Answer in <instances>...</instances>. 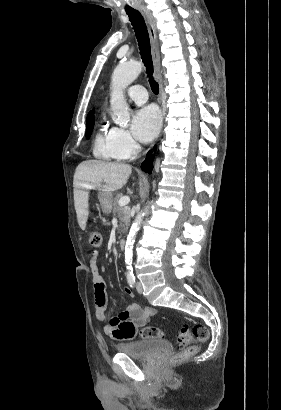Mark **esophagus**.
<instances>
[{"instance_id":"esophagus-1","label":"esophagus","mask_w":281,"mask_h":410,"mask_svg":"<svg viewBox=\"0 0 281 410\" xmlns=\"http://www.w3.org/2000/svg\"><path fill=\"white\" fill-rule=\"evenodd\" d=\"M140 12L142 16L144 17V20L146 22L147 29L149 32L151 53H152L153 64H154V74H155V78L160 88V99L163 102V81H162V71H161V59H160L158 35H157L155 21H154L152 13L148 9H141Z\"/></svg>"}]
</instances>
